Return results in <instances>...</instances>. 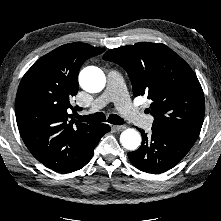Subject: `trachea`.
<instances>
[{"label": "trachea", "mask_w": 221, "mask_h": 221, "mask_svg": "<svg viewBox=\"0 0 221 221\" xmlns=\"http://www.w3.org/2000/svg\"><path fill=\"white\" fill-rule=\"evenodd\" d=\"M77 119L81 122H89V123H100L106 121V116L103 112H98L92 115H85V116H76ZM108 122L114 125H122L124 124V120L116 115V114H111L108 117Z\"/></svg>", "instance_id": "3493384b"}]
</instances>
